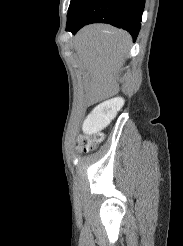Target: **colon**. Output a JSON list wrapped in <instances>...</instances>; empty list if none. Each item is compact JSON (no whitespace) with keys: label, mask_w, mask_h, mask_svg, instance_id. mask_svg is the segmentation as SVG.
Masks as SVG:
<instances>
[{"label":"colon","mask_w":183,"mask_h":246,"mask_svg":"<svg viewBox=\"0 0 183 246\" xmlns=\"http://www.w3.org/2000/svg\"><path fill=\"white\" fill-rule=\"evenodd\" d=\"M97 142L98 141L96 139L89 140V141H84L83 145H84L85 151H86V149L90 150V149L94 148L95 145L97 144Z\"/></svg>","instance_id":"colon-1"}]
</instances>
